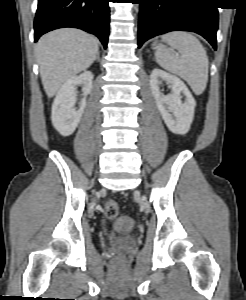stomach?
<instances>
[{"label":"stomach","mask_w":246,"mask_h":300,"mask_svg":"<svg viewBox=\"0 0 246 300\" xmlns=\"http://www.w3.org/2000/svg\"><path fill=\"white\" fill-rule=\"evenodd\" d=\"M154 46H156V43L154 44ZM157 47H159V46H156V48H157Z\"/></svg>","instance_id":"obj_1"}]
</instances>
